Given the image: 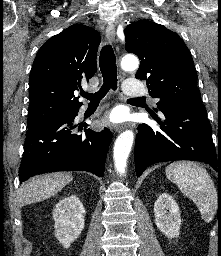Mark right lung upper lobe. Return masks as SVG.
<instances>
[{
    "instance_id": "1",
    "label": "right lung upper lobe",
    "mask_w": 221,
    "mask_h": 256,
    "mask_svg": "<svg viewBox=\"0 0 221 256\" xmlns=\"http://www.w3.org/2000/svg\"><path fill=\"white\" fill-rule=\"evenodd\" d=\"M99 33L74 24L46 41L37 53L29 77V117L78 111L74 92L97 71Z\"/></svg>"
}]
</instances>
